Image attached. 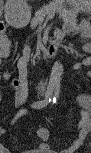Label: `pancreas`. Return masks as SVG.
Wrapping results in <instances>:
<instances>
[{
    "label": "pancreas",
    "instance_id": "obj_1",
    "mask_svg": "<svg viewBox=\"0 0 91 153\" xmlns=\"http://www.w3.org/2000/svg\"><path fill=\"white\" fill-rule=\"evenodd\" d=\"M56 12L61 13L64 22L69 27L76 26L77 19L75 13L68 11L64 6L58 3H51L42 7L35 13V17L31 21V27H36L38 24H41L46 15L53 16Z\"/></svg>",
    "mask_w": 91,
    "mask_h": 153
}]
</instances>
